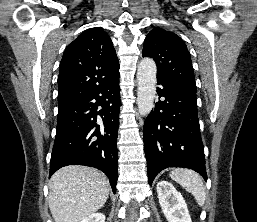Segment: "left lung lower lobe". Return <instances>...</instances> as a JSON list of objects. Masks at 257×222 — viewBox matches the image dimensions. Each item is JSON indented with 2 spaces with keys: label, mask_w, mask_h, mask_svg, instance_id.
I'll return each instance as SVG.
<instances>
[{
  "label": "left lung lower lobe",
  "mask_w": 257,
  "mask_h": 222,
  "mask_svg": "<svg viewBox=\"0 0 257 222\" xmlns=\"http://www.w3.org/2000/svg\"><path fill=\"white\" fill-rule=\"evenodd\" d=\"M157 83L163 99L155 103L143 128L149 184L168 167L189 168L207 180L196 93L161 76Z\"/></svg>",
  "instance_id": "left-lung-lower-lobe-1"
}]
</instances>
